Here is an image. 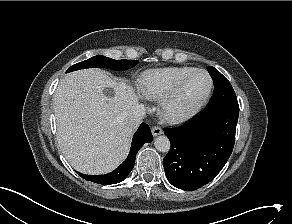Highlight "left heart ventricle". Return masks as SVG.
I'll list each match as a JSON object with an SVG mask.
<instances>
[{"label":"left heart ventricle","mask_w":292,"mask_h":224,"mask_svg":"<svg viewBox=\"0 0 292 224\" xmlns=\"http://www.w3.org/2000/svg\"><path fill=\"white\" fill-rule=\"evenodd\" d=\"M209 78L205 73L193 75L182 88L178 98L172 105V112L182 113L193 108L206 95Z\"/></svg>","instance_id":"1"}]
</instances>
